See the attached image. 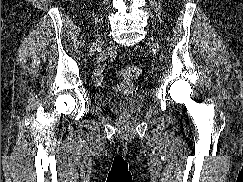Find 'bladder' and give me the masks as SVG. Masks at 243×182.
Wrapping results in <instances>:
<instances>
[{"label":"bladder","mask_w":243,"mask_h":182,"mask_svg":"<svg viewBox=\"0 0 243 182\" xmlns=\"http://www.w3.org/2000/svg\"><path fill=\"white\" fill-rule=\"evenodd\" d=\"M95 101L104 108L126 115L138 113L144 105L143 99L138 95H125L123 93L117 94L105 91L97 92Z\"/></svg>","instance_id":"bladder-1"}]
</instances>
